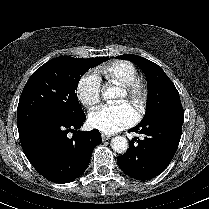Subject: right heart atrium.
<instances>
[{
	"label": "right heart atrium",
	"mask_w": 209,
	"mask_h": 209,
	"mask_svg": "<svg viewBox=\"0 0 209 209\" xmlns=\"http://www.w3.org/2000/svg\"><path fill=\"white\" fill-rule=\"evenodd\" d=\"M76 93L79 101L87 108L97 105L101 99V81L94 72L85 73L78 81Z\"/></svg>",
	"instance_id": "right-heart-atrium-1"
}]
</instances>
